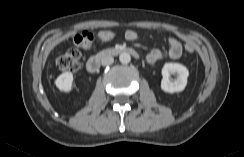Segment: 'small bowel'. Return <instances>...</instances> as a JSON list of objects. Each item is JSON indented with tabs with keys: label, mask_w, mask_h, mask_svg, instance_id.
I'll list each match as a JSON object with an SVG mask.
<instances>
[{
	"label": "small bowel",
	"mask_w": 244,
	"mask_h": 157,
	"mask_svg": "<svg viewBox=\"0 0 244 157\" xmlns=\"http://www.w3.org/2000/svg\"><path fill=\"white\" fill-rule=\"evenodd\" d=\"M138 38L137 31L133 29H129L125 32V39L128 41H135ZM169 49L167 51V54H165L160 49H153L151 50L146 59L147 62L151 65L156 64L158 61H161L166 56L170 59H178L182 55V43L180 40H178L175 37H171L168 40Z\"/></svg>",
	"instance_id": "obj_1"
}]
</instances>
